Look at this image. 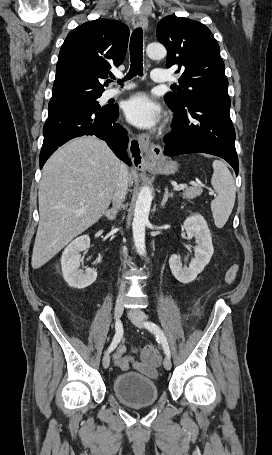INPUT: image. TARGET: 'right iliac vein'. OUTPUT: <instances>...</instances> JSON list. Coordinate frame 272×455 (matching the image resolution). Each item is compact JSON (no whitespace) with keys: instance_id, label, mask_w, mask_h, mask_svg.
Wrapping results in <instances>:
<instances>
[{"instance_id":"1","label":"right iliac vein","mask_w":272,"mask_h":455,"mask_svg":"<svg viewBox=\"0 0 272 455\" xmlns=\"http://www.w3.org/2000/svg\"><path fill=\"white\" fill-rule=\"evenodd\" d=\"M123 310H124V302L122 300H118L116 302L115 308H114V316H115L116 320H119L121 318V316L123 314ZM102 364L105 369L109 367L110 356H109L108 352L105 353L103 360H102Z\"/></svg>"}]
</instances>
